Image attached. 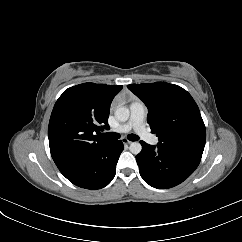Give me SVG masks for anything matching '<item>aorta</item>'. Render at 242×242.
I'll return each instance as SVG.
<instances>
[{
	"instance_id": "aorta-1",
	"label": "aorta",
	"mask_w": 242,
	"mask_h": 242,
	"mask_svg": "<svg viewBox=\"0 0 242 242\" xmlns=\"http://www.w3.org/2000/svg\"><path fill=\"white\" fill-rule=\"evenodd\" d=\"M129 116H130V111L128 108L119 106L115 109V117L119 121L124 122V121L128 120ZM129 150L131 153L137 155L141 152L142 146L139 142H132L130 144Z\"/></svg>"
}]
</instances>
